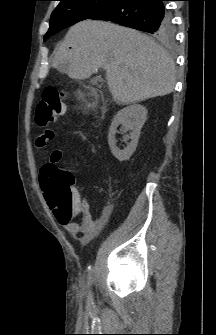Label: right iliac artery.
Listing matches in <instances>:
<instances>
[{"instance_id": "obj_1", "label": "right iliac artery", "mask_w": 216, "mask_h": 335, "mask_svg": "<svg viewBox=\"0 0 216 335\" xmlns=\"http://www.w3.org/2000/svg\"><path fill=\"white\" fill-rule=\"evenodd\" d=\"M89 279H91V277L89 276ZM89 301H92V297L91 296H89Z\"/></svg>"}]
</instances>
